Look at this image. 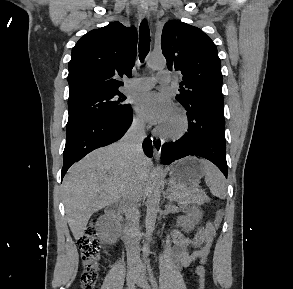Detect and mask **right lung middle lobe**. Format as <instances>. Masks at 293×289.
Here are the masks:
<instances>
[{
	"instance_id": "obj_1",
	"label": "right lung middle lobe",
	"mask_w": 293,
	"mask_h": 289,
	"mask_svg": "<svg viewBox=\"0 0 293 289\" xmlns=\"http://www.w3.org/2000/svg\"><path fill=\"white\" fill-rule=\"evenodd\" d=\"M126 96L120 92L96 94L68 101L69 118L67 128L84 121L122 112L130 107L124 103Z\"/></svg>"
}]
</instances>
